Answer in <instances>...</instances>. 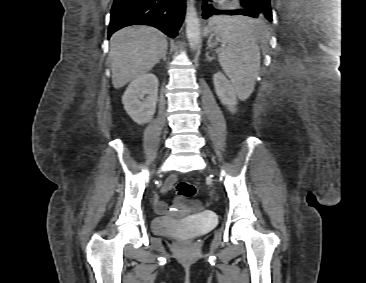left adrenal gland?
I'll return each mask as SVG.
<instances>
[{
	"label": "left adrenal gland",
	"mask_w": 366,
	"mask_h": 283,
	"mask_svg": "<svg viewBox=\"0 0 366 283\" xmlns=\"http://www.w3.org/2000/svg\"><path fill=\"white\" fill-rule=\"evenodd\" d=\"M206 58L209 62H211L214 58L209 56V52L206 53Z\"/></svg>",
	"instance_id": "obj_1"
}]
</instances>
